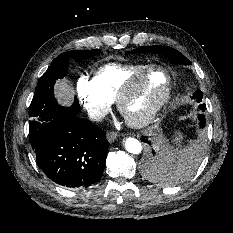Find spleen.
I'll return each mask as SVG.
<instances>
[{
  "label": "spleen",
  "mask_w": 233,
  "mask_h": 233,
  "mask_svg": "<svg viewBox=\"0 0 233 233\" xmlns=\"http://www.w3.org/2000/svg\"><path fill=\"white\" fill-rule=\"evenodd\" d=\"M180 138H182L181 134H179V138L178 137L175 138V141H177V143H178ZM179 146H181V145L179 144ZM176 150L179 151L180 153H182L184 151L183 149H181V150L176 149Z\"/></svg>",
  "instance_id": "3e777b00"
}]
</instances>
